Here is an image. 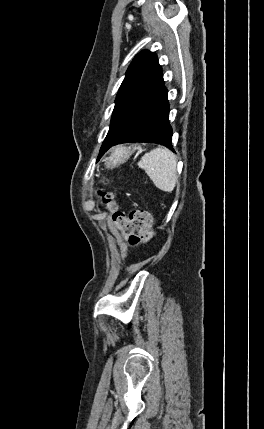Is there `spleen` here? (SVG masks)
<instances>
[{"label": "spleen", "mask_w": 264, "mask_h": 429, "mask_svg": "<svg viewBox=\"0 0 264 429\" xmlns=\"http://www.w3.org/2000/svg\"><path fill=\"white\" fill-rule=\"evenodd\" d=\"M154 185L165 192H172L177 182V161L167 148L159 147L146 153L138 162Z\"/></svg>", "instance_id": "3e777b00"}]
</instances>
